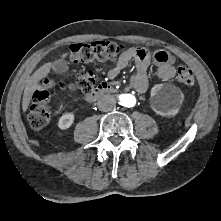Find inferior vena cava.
<instances>
[{
  "instance_id": "obj_1",
  "label": "inferior vena cava",
  "mask_w": 221,
  "mask_h": 221,
  "mask_svg": "<svg viewBox=\"0 0 221 221\" xmlns=\"http://www.w3.org/2000/svg\"><path fill=\"white\" fill-rule=\"evenodd\" d=\"M97 105L100 111H110L115 108L116 100L111 95H104L98 100Z\"/></svg>"
}]
</instances>
